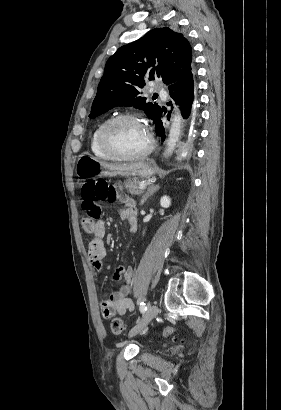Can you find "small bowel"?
I'll use <instances>...</instances> for the list:
<instances>
[{"instance_id":"small-bowel-1","label":"small bowel","mask_w":281,"mask_h":410,"mask_svg":"<svg viewBox=\"0 0 281 410\" xmlns=\"http://www.w3.org/2000/svg\"><path fill=\"white\" fill-rule=\"evenodd\" d=\"M118 200L124 205L122 210V218L129 224L131 233L137 229V206L135 201L123 194H119ZM105 222L100 220L96 223L94 230V238L89 243L88 257L92 266L99 272L103 270L102 259L106 256L107 250L104 244L106 236ZM116 283L122 279L117 291L103 296L100 302L101 312L104 317L111 318L114 315H124L132 311L134 306L129 298L131 293V283L133 271L131 266H119L115 269L113 275Z\"/></svg>"}]
</instances>
